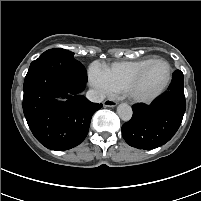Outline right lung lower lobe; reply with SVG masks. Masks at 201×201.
<instances>
[{
    "instance_id": "right-lung-lower-lobe-1",
    "label": "right lung lower lobe",
    "mask_w": 201,
    "mask_h": 201,
    "mask_svg": "<svg viewBox=\"0 0 201 201\" xmlns=\"http://www.w3.org/2000/svg\"><path fill=\"white\" fill-rule=\"evenodd\" d=\"M83 71L80 62L60 55L40 56L29 67L23 112L35 138L48 149L63 151L79 145L92 115L102 107L80 94L87 82ZM58 97L67 100L57 102Z\"/></svg>"
}]
</instances>
